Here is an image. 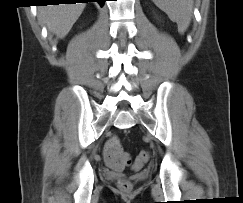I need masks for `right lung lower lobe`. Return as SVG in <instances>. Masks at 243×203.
Returning a JSON list of instances; mask_svg holds the SVG:
<instances>
[{
	"label": "right lung lower lobe",
	"mask_w": 243,
	"mask_h": 203,
	"mask_svg": "<svg viewBox=\"0 0 243 203\" xmlns=\"http://www.w3.org/2000/svg\"><path fill=\"white\" fill-rule=\"evenodd\" d=\"M57 1H59L58 3H76L77 1H83V3H88V2H98L101 6H103L104 5V2L106 1V0H57ZM43 4H45V3H43V2H40L39 4H37V5H43ZM59 5V4H58Z\"/></svg>",
	"instance_id": "1"
}]
</instances>
